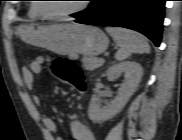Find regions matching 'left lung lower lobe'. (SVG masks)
<instances>
[{
    "label": "left lung lower lobe",
    "mask_w": 182,
    "mask_h": 140,
    "mask_svg": "<svg viewBox=\"0 0 182 140\" xmlns=\"http://www.w3.org/2000/svg\"><path fill=\"white\" fill-rule=\"evenodd\" d=\"M166 0H98L77 23L136 30L160 45Z\"/></svg>",
    "instance_id": "1"
}]
</instances>
